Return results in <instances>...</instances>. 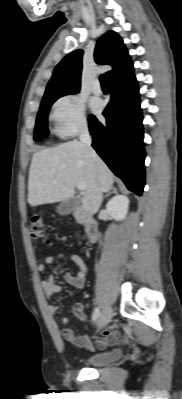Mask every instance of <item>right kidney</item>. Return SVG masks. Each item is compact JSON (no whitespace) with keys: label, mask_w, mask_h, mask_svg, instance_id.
Masks as SVG:
<instances>
[{"label":"right kidney","mask_w":182,"mask_h":399,"mask_svg":"<svg viewBox=\"0 0 182 399\" xmlns=\"http://www.w3.org/2000/svg\"><path fill=\"white\" fill-rule=\"evenodd\" d=\"M129 208V199L124 195H116L106 205L108 214L116 221L126 218Z\"/></svg>","instance_id":"obj_1"}]
</instances>
